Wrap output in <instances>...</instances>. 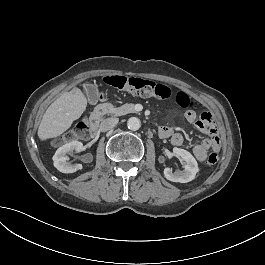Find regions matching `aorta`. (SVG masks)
I'll return each mask as SVG.
<instances>
[{"label": "aorta", "instance_id": "1", "mask_svg": "<svg viewBox=\"0 0 265 265\" xmlns=\"http://www.w3.org/2000/svg\"><path fill=\"white\" fill-rule=\"evenodd\" d=\"M127 127L132 131H137L141 127V121L136 117H131L127 121Z\"/></svg>", "mask_w": 265, "mask_h": 265}]
</instances>
